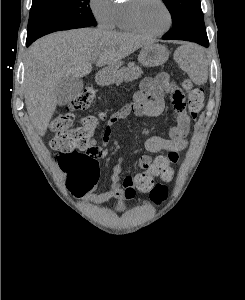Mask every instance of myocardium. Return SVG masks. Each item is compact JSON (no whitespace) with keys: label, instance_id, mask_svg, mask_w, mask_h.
I'll return each mask as SVG.
<instances>
[{"label":"myocardium","instance_id":"1","mask_svg":"<svg viewBox=\"0 0 245 300\" xmlns=\"http://www.w3.org/2000/svg\"><path fill=\"white\" fill-rule=\"evenodd\" d=\"M157 1L162 5L164 10L166 11L168 22L166 27L163 28L162 30L151 32L142 25L139 19V14H138L139 7L140 4L143 2V0H128V3L126 5L127 19L129 23L132 25V27L135 28L139 33L144 34L146 36L157 37L166 33L170 29L173 22L171 10L164 0H157Z\"/></svg>","mask_w":245,"mask_h":300}]
</instances>
